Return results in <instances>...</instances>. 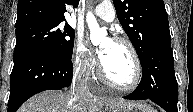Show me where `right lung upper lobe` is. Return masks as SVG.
<instances>
[{
	"instance_id": "right-lung-upper-lobe-1",
	"label": "right lung upper lobe",
	"mask_w": 193,
	"mask_h": 112,
	"mask_svg": "<svg viewBox=\"0 0 193 112\" xmlns=\"http://www.w3.org/2000/svg\"><path fill=\"white\" fill-rule=\"evenodd\" d=\"M79 0H18L16 29L38 23H61L66 5L77 7Z\"/></svg>"
}]
</instances>
